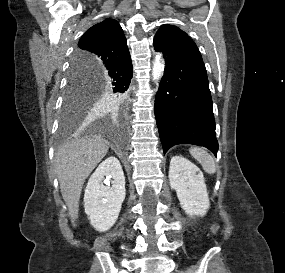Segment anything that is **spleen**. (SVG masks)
Here are the masks:
<instances>
[{
    "instance_id": "spleen-1",
    "label": "spleen",
    "mask_w": 285,
    "mask_h": 273,
    "mask_svg": "<svg viewBox=\"0 0 285 273\" xmlns=\"http://www.w3.org/2000/svg\"><path fill=\"white\" fill-rule=\"evenodd\" d=\"M190 154L202 165L205 172L213 174L216 172V166L214 159L208 152L199 147H193L190 150Z\"/></svg>"
}]
</instances>
